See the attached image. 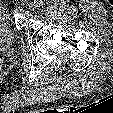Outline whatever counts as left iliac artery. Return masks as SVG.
<instances>
[{
	"instance_id": "44dca946",
	"label": "left iliac artery",
	"mask_w": 113,
	"mask_h": 113,
	"mask_svg": "<svg viewBox=\"0 0 113 113\" xmlns=\"http://www.w3.org/2000/svg\"><path fill=\"white\" fill-rule=\"evenodd\" d=\"M34 3L36 4V7H40V5H42V0H35Z\"/></svg>"
}]
</instances>
